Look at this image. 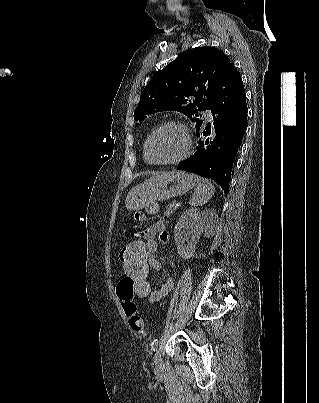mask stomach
I'll return each mask as SVG.
<instances>
[{"mask_svg":"<svg viewBox=\"0 0 319 403\" xmlns=\"http://www.w3.org/2000/svg\"><path fill=\"white\" fill-rule=\"evenodd\" d=\"M194 186L195 181L185 172H165L130 190L126 198V208L140 210L153 201H164L181 196Z\"/></svg>","mask_w":319,"mask_h":403,"instance_id":"0dacf381","label":"stomach"}]
</instances>
